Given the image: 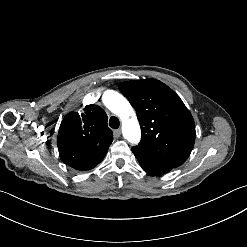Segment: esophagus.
I'll list each match as a JSON object with an SVG mask.
<instances>
[{
	"label": "esophagus",
	"mask_w": 247,
	"mask_h": 247,
	"mask_svg": "<svg viewBox=\"0 0 247 247\" xmlns=\"http://www.w3.org/2000/svg\"><path fill=\"white\" fill-rule=\"evenodd\" d=\"M113 135L116 139L119 138L121 135V130L120 129L114 130Z\"/></svg>",
	"instance_id": "1"
}]
</instances>
